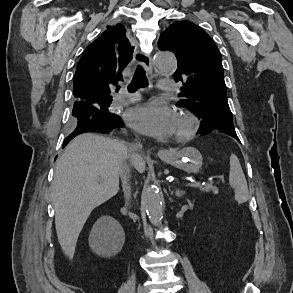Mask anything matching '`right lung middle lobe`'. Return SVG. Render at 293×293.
Returning <instances> with one entry per match:
<instances>
[{
  "label": "right lung middle lobe",
  "instance_id": "obj_1",
  "mask_svg": "<svg viewBox=\"0 0 293 293\" xmlns=\"http://www.w3.org/2000/svg\"><path fill=\"white\" fill-rule=\"evenodd\" d=\"M111 101L112 100H110V99L99 98V99L95 100L94 101L95 104H92V105H94L95 107H97L98 109H100L103 112H110L109 106H110Z\"/></svg>",
  "mask_w": 293,
  "mask_h": 293
}]
</instances>
